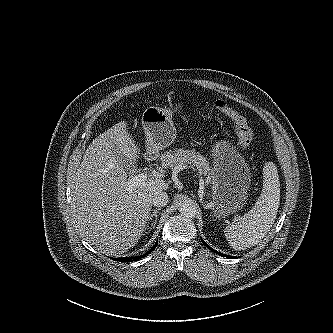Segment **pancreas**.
I'll return each instance as SVG.
<instances>
[{"label":"pancreas","instance_id":"pancreas-1","mask_svg":"<svg viewBox=\"0 0 333 333\" xmlns=\"http://www.w3.org/2000/svg\"><path fill=\"white\" fill-rule=\"evenodd\" d=\"M161 165L163 168H177L182 166L184 169L197 170L207 176L206 183H210L213 171L210 169L209 162L204 156L194 150L173 149L161 155Z\"/></svg>","mask_w":333,"mask_h":333}]
</instances>
